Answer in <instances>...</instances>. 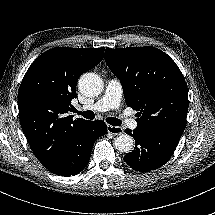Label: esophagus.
I'll list each match as a JSON object with an SVG mask.
<instances>
[{
    "mask_svg": "<svg viewBox=\"0 0 215 215\" xmlns=\"http://www.w3.org/2000/svg\"><path fill=\"white\" fill-rule=\"evenodd\" d=\"M107 131L108 133L112 134V135H121L124 133V129L118 126H111V125H107Z\"/></svg>",
    "mask_w": 215,
    "mask_h": 215,
    "instance_id": "esophagus-1",
    "label": "esophagus"
}]
</instances>
